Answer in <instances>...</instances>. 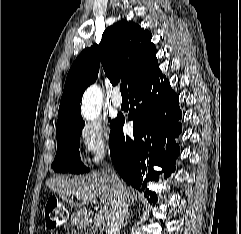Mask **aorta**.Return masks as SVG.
<instances>
[{"instance_id":"1","label":"aorta","mask_w":241,"mask_h":234,"mask_svg":"<svg viewBox=\"0 0 241 234\" xmlns=\"http://www.w3.org/2000/svg\"><path fill=\"white\" fill-rule=\"evenodd\" d=\"M102 92L99 86L92 85L84 93L82 99V116L87 121L96 120L101 112Z\"/></svg>"}]
</instances>
